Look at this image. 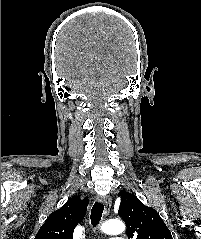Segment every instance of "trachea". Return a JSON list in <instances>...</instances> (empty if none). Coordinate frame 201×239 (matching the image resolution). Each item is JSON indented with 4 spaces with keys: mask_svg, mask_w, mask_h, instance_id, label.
<instances>
[{
    "mask_svg": "<svg viewBox=\"0 0 201 239\" xmlns=\"http://www.w3.org/2000/svg\"><path fill=\"white\" fill-rule=\"evenodd\" d=\"M103 210H104L103 203H100V202L94 203L91 210V216H90L91 224L93 227H96L99 224L102 217Z\"/></svg>",
    "mask_w": 201,
    "mask_h": 239,
    "instance_id": "3493384b",
    "label": "trachea"
}]
</instances>
